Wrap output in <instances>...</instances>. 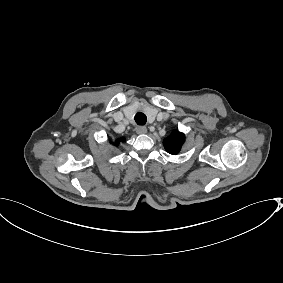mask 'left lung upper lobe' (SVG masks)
I'll return each mask as SVG.
<instances>
[{
	"label": "left lung upper lobe",
	"instance_id": "left-lung-upper-lobe-1",
	"mask_svg": "<svg viewBox=\"0 0 283 283\" xmlns=\"http://www.w3.org/2000/svg\"><path fill=\"white\" fill-rule=\"evenodd\" d=\"M184 141L185 135L183 133L173 131L172 134L164 140L163 144L168 153L176 155L180 152Z\"/></svg>",
	"mask_w": 283,
	"mask_h": 283
}]
</instances>
